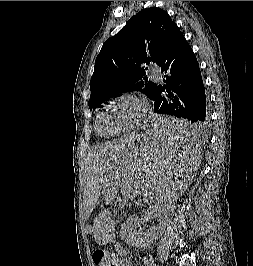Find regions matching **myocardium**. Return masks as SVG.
Wrapping results in <instances>:
<instances>
[{
  "label": "myocardium",
  "instance_id": "obj_1",
  "mask_svg": "<svg viewBox=\"0 0 253 266\" xmlns=\"http://www.w3.org/2000/svg\"><path fill=\"white\" fill-rule=\"evenodd\" d=\"M121 100H132L135 101L138 105H139V112L138 114L135 116V118L132 120V122L127 125L125 128H123L122 130L115 132L114 134L111 135H103L100 131H99V119L100 116L102 114V112L109 106L121 101ZM149 112V102L148 100L141 94L139 93H135V92H125L122 93L116 97H114L113 99H111L110 101H108L107 103H105L100 110L97 113L96 116V120H95V130L97 132V134L100 137L103 138H112V137H116L119 136L121 134H124L130 130H132L133 128H135L136 126H138L148 115Z\"/></svg>",
  "mask_w": 253,
  "mask_h": 266
}]
</instances>
